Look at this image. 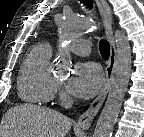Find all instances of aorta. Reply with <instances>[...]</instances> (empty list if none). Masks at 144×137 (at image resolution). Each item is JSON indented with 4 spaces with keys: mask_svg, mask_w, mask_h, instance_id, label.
<instances>
[{
    "mask_svg": "<svg viewBox=\"0 0 144 137\" xmlns=\"http://www.w3.org/2000/svg\"><path fill=\"white\" fill-rule=\"evenodd\" d=\"M96 29L97 24L93 21L85 18L67 16L61 28L60 41L62 42V47L67 46L70 41L79 37L84 31H95ZM114 38L116 44V59L111 86L107 100L97 121L94 137L112 136L131 75L132 56L129 41L125 33L119 29L115 30ZM58 59L59 66L61 67H68L71 63L70 55L66 51H61Z\"/></svg>",
    "mask_w": 144,
    "mask_h": 137,
    "instance_id": "obj_1",
    "label": "aorta"
}]
</instances>
